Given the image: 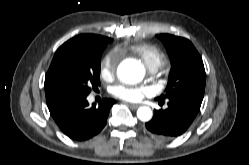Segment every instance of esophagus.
<instances>
[{"label":"esophagus","mask_w":249,"mask_h":165,"mask_svg":"<svg viewBox=\"0 0 249 165\" xmlns=\"http://www.w3.org/2000/svg\"><path fill=\"white\" fill-rule=\"evenodd\" d=\"M131 108H133V109H136V108H138L139 107V105L138 104H132V103H129L128 104Z\"/></svg>","instance_id":"1"}]
</instances>
